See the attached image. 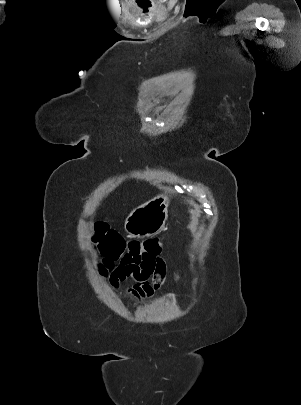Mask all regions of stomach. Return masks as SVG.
I'll use <instances>...</instances> for the list:
<instances>
[{"label":"stomach","instance_id":"1","mask_svg":"<svg viewBox=\"0 0 301 405\" xmlns=\"http://www.w3.org/2000/svg\"><path fill=\"white\" fill-rule=\"evenodd\" d=\"M168 197L159 195L153 200L139 206L127 217L125 231L131 237H148L155 235L166 220Z\"/></svg>","mask_w":301,"mask_h":405}]
</instances>
